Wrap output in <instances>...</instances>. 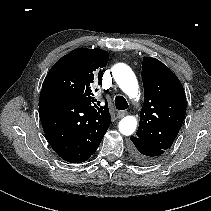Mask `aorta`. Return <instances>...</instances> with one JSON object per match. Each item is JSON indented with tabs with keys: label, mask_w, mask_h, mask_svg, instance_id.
<instances>
[{
	"label": "aorta",
	"mask_w": 211,
	"mask_h": 211,
	"mask_svg": "<svg viewBox=\"0 0 211 211\" xmlns=\"http://www.w3.org/2000/svg\"><path fill=\"white\" fill-rule=\"evenodd\" d=\"M112 75L121 90L131 98L138 95V82L132 69L122 63L116 64L112 68ZM137 127V119L134 116H126L119 122L118 128L125 136L132 135Z\"/></svg>",
	"instance_id": "762f6f07"
}]
</instances>
